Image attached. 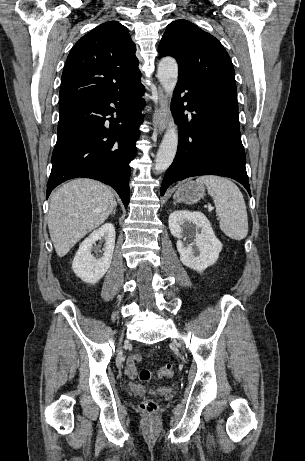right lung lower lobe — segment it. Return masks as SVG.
I'll list each match as a JSON object with an SVG mask.
<instances>
[{"label":"right lung lower lobe","instance_id":"right-lung-lower-lobe-1","mask_svg":"<svg viewBox=\"0 0 305 461\" xmlns=\"http://www.w3.org/2000/svg\"><path fill=\"white\" fill-rule=\"evenodd\" d=\"M143 93L144 87L139 81L110 95L59 105L47 198L62 182L84 177L112 186L125 207L128 206L129 163L137 151Z\"/></svg>","mask_w":305,"mask_h":461}]
</instances>
